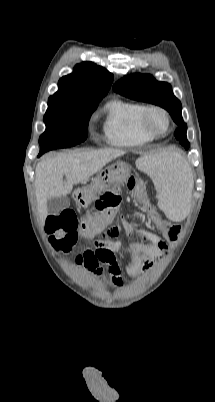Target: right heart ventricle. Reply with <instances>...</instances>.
I'll return each mask as SVG.
<instances>
[{
    "instance_id": "e07e8e85",
    "label": "right heart ventricle",
    "mask_w": 215,
    "mask_h": 402,
    "mask_svg": "<svg viewBox=\"0 0 215 402\" xmlns=\"http://www.w3.org/2000/svg\"><path fill=\"white\" fill-rule=\"evenodd\" d=\"M144 105L119 98L109 101L105 108L103 133L108 144L116 147H139L154 138L140 127Z\"/></svg>"
}]
</instances>
